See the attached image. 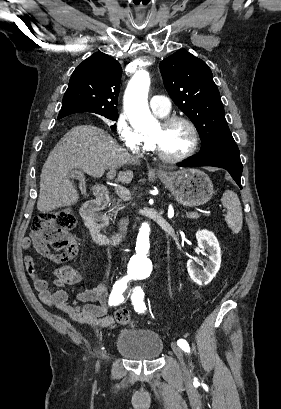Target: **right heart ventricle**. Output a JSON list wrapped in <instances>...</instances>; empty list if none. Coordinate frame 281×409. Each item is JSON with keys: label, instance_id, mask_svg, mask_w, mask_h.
<instances>
[{"label": "right heart ventricle", "instance_id": "e07e8e85", "mask_svg": "<svg viewBox=\"0 0 281 409\" xmlns=\"http://www.w3.org/2000/svg\"><path fill=\"white\" fill-rule=\"evenodd\" d=\"M144 149H147V146H146L145 138L141 137L139 146L135 148V151L138 152V151L144 150Z\"/></svg>", "mask_w": 281, "mask_h": 409}]
</instances>
